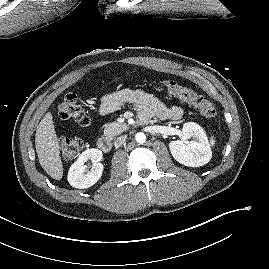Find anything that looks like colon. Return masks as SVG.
<instances>
[{"label":"colon","mask_w":269,"mask_h":269,"mask_svg":"<svg viewBox=\"0 0 269 269\" xmlns=\"http://www.w3.org/2000/svg\"><path fill=\"white\" fill-rule=\"evenodd\" d=\"M164 91L170 96L176 97L195 109L204 117L212 118L216 115L214 105L202 95L194 92L190 88L180 85L173 80H164L162 83ZM58 114L64 120H73L81 126H87L90 118L81 106L75 93H67L58 106ZM83 148V141L79 138L63 137L60 140L62 157L65 160L75 158Z\"/></svg>","instance_id":"5ec220e1"}]
</instances>
